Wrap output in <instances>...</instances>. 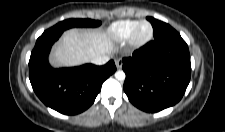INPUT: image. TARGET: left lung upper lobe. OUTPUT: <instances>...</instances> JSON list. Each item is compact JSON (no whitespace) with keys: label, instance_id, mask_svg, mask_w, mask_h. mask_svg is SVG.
I'll return each mask as SVG.
<instances>
[{"label":"left lung upper lobe","instance_id":"5c2ea615","mask_svg":"<svg viewBox=\"0 0 225 132\" xmlns=\"http://www.w3.org/2000/svg\"><path fill=\"white\" fill-rule=\"evenodd\" d=\"M152 26L154 30V39L178 33L170 25L164 22H161V24H158V26H154L153 24Z\"/></svg>","mask_w":225,"mask_h":132}]
</instances>
